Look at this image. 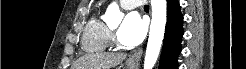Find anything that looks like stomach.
Wrapping results in <instances>:
<instances>
[{
  "label": "stomach",
  "instance_id": "stomach-1",
  "mask_svg": "<svg viewBox=\"0 0 246 69\" xmlns=\"http://www.w3.org/2000/svg\"><path fill=\"white\" fill-rule=\"evenodd\" d=\"M126 69H137V64L126 62Z\"/></svg>",
  "mask_w": 246,
  "mask_h": 69
}]
</instances>
